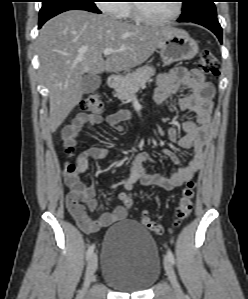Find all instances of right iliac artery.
Wrapping results in <instances>:
<instances>
[{"label":"right iliac artery","instance_id":"obj_1","mask_svg":"<svg viewBox=\"0 0 248 299\" xmlns=\"http://www.w3.org/2000/svg\"><path fill=\"white\" fill-rule=\"evenodd\" d=\"M94 249H95V245H91L88 250H87V254H86V258L87 260H89L94 252Z\"/></svg>","mask_w":248,"mask_h":299}]
</instances>
